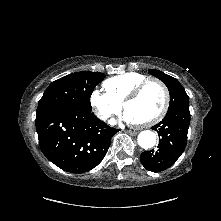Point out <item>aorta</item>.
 <instances>
[{
	"label": "aorta",
	"mask_w": 221,
	"mask_h": 221,
	"mask_svg": "<svg viewBox=\"0 0 221 221\" xmlns=\"http://www.w3.org/2000/svg\"><path fill=\"white\" fill-rule=\"evenodd\" d=\"M138 144L144 149H150L156 144V134L150 130L142 131L138 135Z\"/></svg>",
	"instance_id": "aorta-1"
}]
</instances>
